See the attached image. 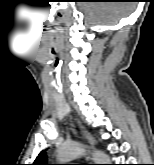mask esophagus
Listing matches in <instances>:
<instances>
[{"label": "esophagus", "mask_w": 154, "mask_h": 165, "mask_svg": "<svg viewBox=\"0 0 154 165\" xmlns=\"http://www.w3.org/2000/svg\"><path fill=\"white\" fill-rule=\"evenodd\" d=\"M83 132H84V135H85V137L87 138L88 142L90 143V145H91L92 147H94L95 141L93 140V138H92V136L90 135V133H89L87 130H85V129H83Z\"/></svg>", "instance_id": "34e87169"}]
</instances>
